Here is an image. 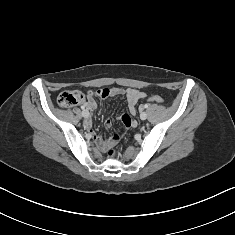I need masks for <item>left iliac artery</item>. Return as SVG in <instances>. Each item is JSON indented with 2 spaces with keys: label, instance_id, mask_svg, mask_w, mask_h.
I'll return each instance as SVG.
<instances>
[{
  "label": "left iliac artery",
  "instance_id": "1",
  "mask_svg": "<svg viewBox=\"0 0 235 235\" xmlns=\"http://www.w3.org/2000/svg\"><path fill=\"white\" fill-rule=\"evenodd\" d=\"M144 108H148V104H145V105H144Z\"/></svg>",
  "mask_w": 235,
  "mask_h": 235
}]
</instances>
